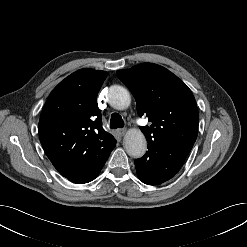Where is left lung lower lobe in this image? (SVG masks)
Wrapping results in <instances>:
<instances>
[{"mask_svg": "<svg viewBox=\"0 0 247 247\" xmlns=\"http://www.w3.org/2000/svg\"><path fill=\"white\" fill-rule=\"evenodd\" d=\"M190 148L180 144L148 145L146 154L135 160L139 179L148 185H158L171 179L183 165Z\"/></svg>", "mask_w": 247, "mask_h": 247, "instance_id": "obj_1", "label": "left lung lower lobe"}]
</instances>
